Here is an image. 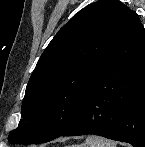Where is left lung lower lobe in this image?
<instances>
[{"mask_svg":"<svg viewBox=\"0 0 145 147\" xmlns=\"http://www.w3.org/2000/svg\"><path fill=\"white\" fill-rule=\"evenodd\" d=\"M86 134L145 147V30L132 10L77 119L60 136Z\"/></svg>","mask_w":145,"mask_h":147,"instance_id":"1","label":"left lung lower lobe"}]
</instances>
